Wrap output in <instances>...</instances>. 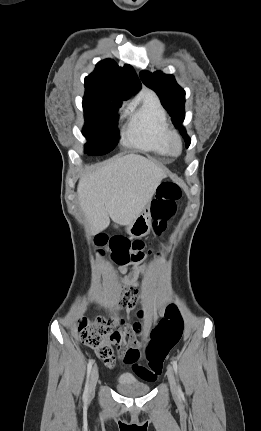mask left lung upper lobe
Wrapping results in <instances>:
<instances>
[{"label": "left lung upper lobe", "instance_id": "left-lung-upper-lobe-1", "mask_svg": "<svg viewBox=\"0 0 261 431\" xmlns=\"http://www.w3.org/2000/svg\"><path fill=\"white\" fill-rule=\"evenodd\" d=\"M140 77L146 86L157 93L162 105L172 117V122L180 128L186 141V146L188 147L190 138L186 134L185 128L182 126V122L185 118V91L176 83L173 75H167L161 71L155 73L142 71Z\"/></svg>", "mask_w": 261, "mask_h": 431}]
</instances>
